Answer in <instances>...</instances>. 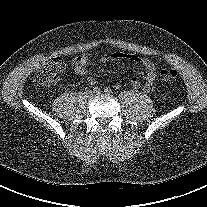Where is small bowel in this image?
<instances>
[{
	"label": "small bowel",
	"mask_w": 207,
	"mask_h": 207,
	"mask_svg": "<svg viewBox=\"0 0 207 207\" xmlns=\"http://www.w3.org/2000/svg\"><path fill=\"white\" fill-rule=\"evenodd\" d=\"M111 59H129L133 61L138 67L144 72V81L140 78L134 77L131 79L130 84L133 88L137 89L142 87L145 92H149L156 78V69L154 64L143 58H139L134 55L123 54L120 52L112 53L110 55H103L101 57L102 62H107ZM89 59L86 55L75 58L72 62L73 70L76 75L84 76L88 73ZM90 84L95 83V79L92 77L88 78Z\"/></svg>",
	"instance_id": "obj_1"
}]
</instances>
